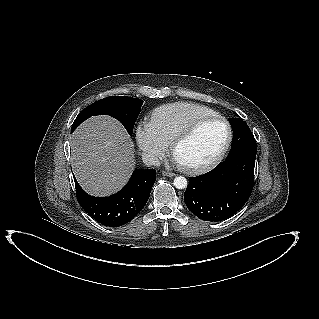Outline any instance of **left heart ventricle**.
<instances>
[{
	"label": "left heart ventricle",
	"mask_w": 319,
	"mask_h": 319,
	"mask_svg": "<svg viewBox=\"0 0 319 319\" xmlns=\"http://www.w3.org/2000/svg\"><path fill=\"white\" fill-rule=\"evenodd\" d=\"M226 138V127L218 119L200 124L194 133L174 151V158L183 165H201L211 160Z\"/></svg>",
	"instance_id": "obj_1"
}]
</instances>
